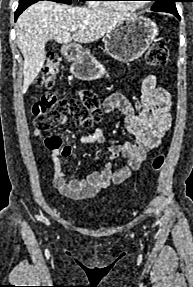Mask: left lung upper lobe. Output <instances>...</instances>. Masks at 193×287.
Wrapping results in <instances>:
<instances>
[{
	"label": "left lung upper lobe",
	"instance_id": "obj_1",
	"mask_svg": "<svg viewBox=\"0 0 193 287\" xmlns=\"http://www.w3.org/2000/svg\"><path fill=\"white\" fill-rule=\"evenodd\" d=\"M153 1H155V3L151 8L152 11L170 12L177 10L175 2H177L178 0H153Z\"/></svg>",
	"mask_w": 193,
	"mask_h": 287
}]
</instances>
